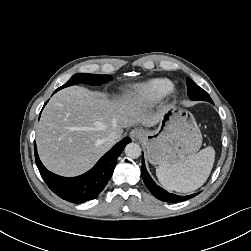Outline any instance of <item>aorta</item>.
Masks as SVG:
<instances>
[{
  "label": "aorta",
  "instance_id": "762f6f07",
  "mask_svg": "<svg viewBox=\"0 0 251 251\" xmlns=\"http://www.w3.org/2000/svg\"><path fill=\"white\" fill-rule=\"evenodd\" d=\"M126 156L136 159L141 155V148L137 143H129L125 147Z\"/></svg>",
  "mask_w": 251,
  "mask_h": 251
}]
</instances>
